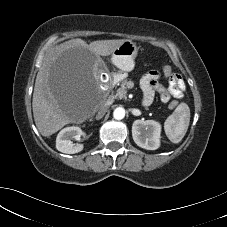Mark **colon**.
Wrapping results in <instances>:
<instances>
[{"label": "colon", "instance_id": "1", "mask_svg": "<svg viewBox=\"0 0 227 227\" xmlns=\"http://www.w3.org/2000/svg\"><path fill=\"white\" fill-rule=\"evenodd\" d=\"M162 70H163V73L166 75V76H171L172 74H173V72H172V68L170 67V66H164L163 68H162ZM177 106V102L176 101H172L171 103H170V107L171 108H174V107H176Z\"/></svg>", "mask_w": 227, "mask_h": 227}]
</instances>
